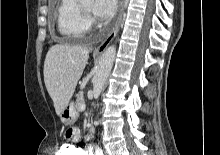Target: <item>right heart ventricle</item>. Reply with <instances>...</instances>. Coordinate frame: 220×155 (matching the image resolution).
<instances>
[{"instance_id": "1", "label": "right heart ventricle", "mask_w": 220, "mask_h": 155, "mask_svg": "<svg viewBox=\"0 0 220 155\" xmlns=\"http://www.w3.org/2000/svg\"><path fill=\"white\" fill-rule=\"evenodd\" d=\"M56 19L59 33L69 40L84 37L89 28L86 17L79 11L77 0H59Z\"/></svg>"}]
</instances>
